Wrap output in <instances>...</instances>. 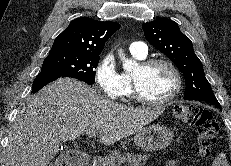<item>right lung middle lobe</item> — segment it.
<instances>
[{
	"label": "right lung middle lobe",
	"mask_w": 231,
	"mask_h": 166,
	"mask_svg": "<svg viewBox=\"0 0 231 166\" xmlns=\"http://www.w3.org/2000/svg\"><path fill=\"white\" fill-rule=\"evenodd\" d=\"M99 55L72 52H49L40 73H53L61 77L76 78L87 84L95 82V71L99 63Z\"/></svg>",
	"instance_id": "1"
}]
</instances>
